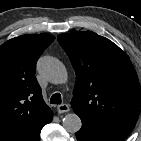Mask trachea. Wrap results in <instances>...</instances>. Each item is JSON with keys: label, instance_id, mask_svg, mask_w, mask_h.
Listing matches in <instances>:
<instances>
[{"label": "trachea", "instance_id": "3493384b", "mask_svg": "<svg viewBox=\"0 0 141 141\" xmlns=\"http://www.w3.org/2000/svg\"><path fill=\"white\" fill-rule=\"evenodd\" d=\"M51 104H61V95L60 93H55L50 99Z\"/></svg>", "mask_w": 141, "mask_h": 141}]
</instances>
